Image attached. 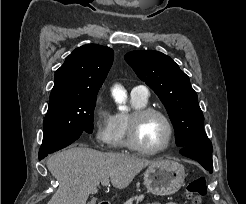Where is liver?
I'll return each mask as SVG.
<instances>
[{"instance_id":"liver-1","label":"liver","mask_w":246,"mask_h":204,"mask_svg":"<svg viewBox=\"0 0 246 204\" xmlns=\"http://www.w3.org/2000/svg\"><path fill=\"white\" fill-rule=\"evenodd\" d=\"M156 161L124 153H103L73 147L52 155L47 168L59 181V188L47 204H86L98 192L103 179L118 189L129 186L134 177Z\"/></svg>"}]
</instances>
